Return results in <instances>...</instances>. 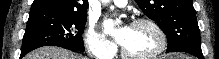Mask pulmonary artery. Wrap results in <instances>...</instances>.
Here are the masks:
<instances>
[{"label": "pulmonary artery", "instance_id": "1", "mask_svg": "<svg viewBox=\"0 0 219 59\" xmlns=\"http://www.w3.org/2000/svg\"><path fill=\"white\" fill-rule=\"evenodd\" d=\"M113 2L118 7H125L127 5L126 0H114Z\"/></svg>", "mask_w": 219, "mask_h": 59}]
</instances>
